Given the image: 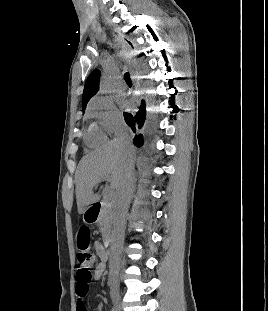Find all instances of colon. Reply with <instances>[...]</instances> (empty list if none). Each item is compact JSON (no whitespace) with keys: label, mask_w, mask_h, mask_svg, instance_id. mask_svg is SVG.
Returning a JSON list of instances; mask_svg holds the SVG:
<instances>
[{"label":"colon","mask_w":268,"mask_h":311,"mask_svg":"<svg viewBox=\"0 0 268 311\" xmlns=\"http://www.w3.org/2000/svg\"><path fill=\"white\" fill-rule=\"evenodd\" d=\"M77 285L78 292L85 296L88 292V284L92 279V273L89 269L94 256L91 252L90 231L88 227H82L77 235Z\"/></svg>","instance_id":"1"}]
</instances>
